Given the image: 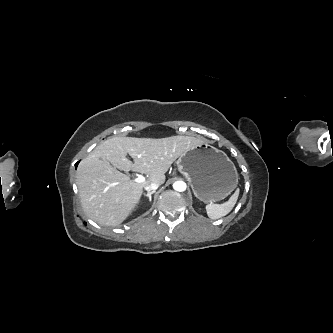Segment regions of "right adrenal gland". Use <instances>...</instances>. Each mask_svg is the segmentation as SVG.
<instances>
[{
    "mask_svg": "<svg viewBox=\"0 0 333 333\" xmlns=\"http://www.w3.org/2000/svg\"><path fill=\"white\" fill-rule=\"evenodd\" d=\"M156 193L155 190L151 191V192H148L147 194L144 193V197H148L149 198V201L151 202L152 201V194Z\"/></svg>",
    "mask_w": 333,
    "mask_h": 333,
    "instance_id": "1",
    "label": "right adrenal gland"
}]
</instances>
